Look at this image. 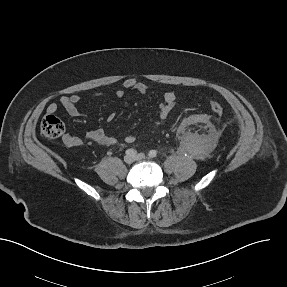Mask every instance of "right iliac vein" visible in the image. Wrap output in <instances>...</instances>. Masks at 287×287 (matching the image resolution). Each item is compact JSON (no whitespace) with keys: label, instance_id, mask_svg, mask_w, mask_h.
I'll return each mask as SVG.
<instances>
[{"label":"right iliac vein","instance_id":"63e3f726","mask_svg":"<svg viewBox=\"0 0 287 287\" xmlns=\"http://www.w3.org/2000/svg\"><path fill=\"white\" fill-rule=\"evenodd\" d=\"M124 161H125L126 163H128V164H131V163H133V162L135 161V157L132 156V155H126V156L124 157Z\"/></svg>","mask_w":287,"mask_h":287}]
</instances>
